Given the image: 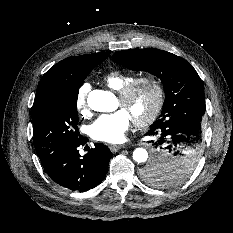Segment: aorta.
I'll use <instances>...</instances> for the list:
<instances>
[{"label":"aorta","mask_w":233,"mask_h":233,"mask_svg":"<svg viewBox=\"0 0 233 233\" xmlns=\"http://www.w3.org/2000/svg\"><path fill=\"white\" fill-rule=\"evenodd\" d=\"M88 106L98 112H112L117 108V99L115 96L104 90H93L87 98ZM166 155H162L164 159ZM133 159L138 163H144L148 159V152L144 148H137L133 152Z\"/></svg>","instance_id":"aorta-1"}]
</instances>
